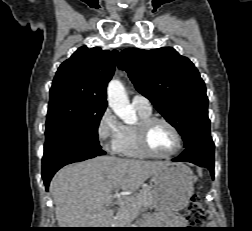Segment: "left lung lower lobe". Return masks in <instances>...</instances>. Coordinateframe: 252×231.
Segmentation results:
<instances>
[{
  "label": "left lung lower lobe",
  "mask_w": 252,
  "mask_h": 231,
  "mask_svg": "<svg viewBox=\"0 0 252 231\" xmlns=\"http://www.w3.org/2000/svg\"><path fill=\"white\" fill-rule=\"evenodd\" d=\"M173 161L191 162L206 167L214 177V143L212 140L194 142L185 147L182 154Z\"/></svg>",
  "instance_id": "1"
}]
</instances>
